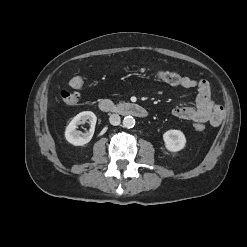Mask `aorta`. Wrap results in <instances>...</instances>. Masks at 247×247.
I'll use <instances>...</instances> for the list:
<instances>
[{"mask_svg":"<svg viewBox=\"0 0 247 247\" xmlns=\"http://www.w3.org/2000/svg\"><path fill=\"white\" fill-rule=\"evenodd\" d=\"M135 125V119L132 116H126L123 119V127L125 128H132Z\"/></svg>","mask_w":247,"mask_h":247,"instance_id":"762f6f07","label":"aorta"}]
</instances>
